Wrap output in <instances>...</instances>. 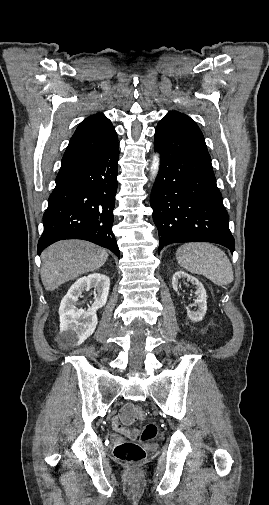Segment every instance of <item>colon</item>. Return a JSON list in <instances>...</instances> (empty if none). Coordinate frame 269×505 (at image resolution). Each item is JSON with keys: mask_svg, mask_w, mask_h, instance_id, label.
I'll return each instance as SVG.
<instances>
[{"mask_svg": "<svg viewBox=\"0 0 269 505\" xmlns=\"http://www.w3.org/2000/svg\"><path fill=\"white\" fill-rule=\"evenodd\" d=\"M134 414L138 418H143V411L135 407ZM157 427L153 423H147L141 433V441L148 442L155 438ZM145 450L141 444L132 441H122L114 448V456L120 462L135 465L145 458Z\"/></svg>", "mask_w": 269, "mask_h": 505, "instance_id": "1", "label": "colon"}]
</instances>
